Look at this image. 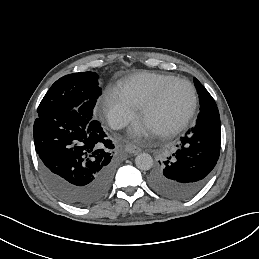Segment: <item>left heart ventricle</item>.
Wrapping results in <instances>:
<instances>
[{"instance_id":"left-heart-ventricle-1","label":"left heart ventricle","mask_w":259,"mask_h":259,"mask_svg":"<svg viewBox=\"0 0 259 259\" xmlns=\"http://www.w3.org/2000/svg\"><path fill=\"white\" fill-rule=\"evenodd\" d=\"M192 99L189 86L177 81L165 92L160 103L140 116L155 133L169 128L188 109Z\"/></svg>"}]
</instances>
